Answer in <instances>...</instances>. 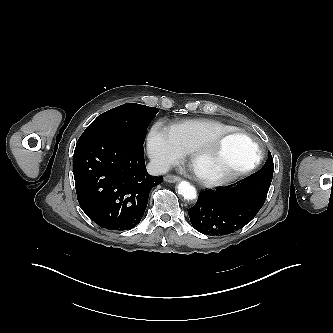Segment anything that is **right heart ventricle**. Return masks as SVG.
I'll list each match as a JSON object with an SVG mask.
<instances>
[{
  "label": "right heart ventricle",
  "mask_w": 333,
  "mask_h": 333,
  "mask_svg": "<svg viewBox=\"0 0 333 333\" xmlns=\"http://www.w3.org/2000/svg\"><path fill=\"white\" fill-rule=\"evenodd\" d=\"M233 127L213 119H186L174 123L170 129L186 152L211 137L230 130Z\"/></svg>",
  "instance_id": "e07e8e85"
}]
</instances>
